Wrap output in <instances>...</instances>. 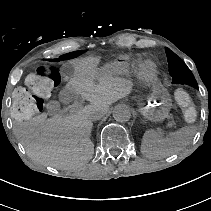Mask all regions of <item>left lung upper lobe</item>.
<instances>
[{"label": "left lung upper lobe", "instance_id": "1", "mask_svg": "<svg viewBox=\"0 0 211 211\" xmlns=\"http://www.w3.org/2000/svg\"><path fill=\"white\" fill-rule=\"evenodd\" d=\"M167 59L169 63V73L172 77V83L174 84H187L195 89H198L197 81L187 67V65L183 62L181 58H179L174 52H172L169 48H165Z\"/></svg>", "mask_w": 211, "mask_h": 211}]
</instances>
